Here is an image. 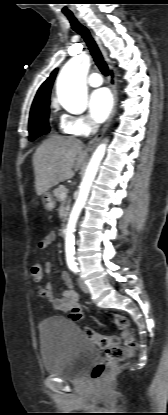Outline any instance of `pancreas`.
I'll list each match as a JSON object with an SVG mask.
<instances>
[{
	"label": "pancreas",
	"mask_w": 168,
	"mask_h": 415,
	"mask_svg": "<svg viewBox=\"0 0 168 415\" xmlns=\"http://www.w3.org/2000/svg\"><path fill=\"white\" fill-rule=\"evenodd\" d=\"M62 192H66L67 193V189L64 186H59L58 188H56L54 190L53 194H54V196H55V198H56L57 201H59L62 204L66 205V207L68 208L69 207L70 200L69 199H66V198H63L62 199L60 197V194Z\"/></svg>",
	"instance_id": "cf45deb5"
}]
</instances>
